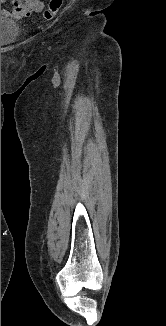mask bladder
<instances>
[{"label": "bladder", "instance_id": "obj_1", "mask_svg": "<svg viewBox=\"0 0 166 326\" xmlns=\"http://www.w3.org/2000/svg\"><path fill=\"white\" fill-rule=\"evenodd\" d=\"M19 33V24L13 20L1 15V48L13 44Z\"/></svg>", "mask_w": 166, "mask_h": 326}]
</instances>
